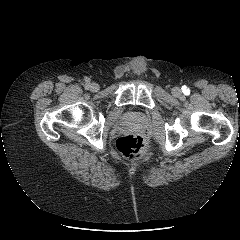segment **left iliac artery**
Returning a JSON list of instances; mask_svg holds the SVG:
<instances>
[{"instance_id": "1", "label": "left iliac artery", "mask_w": 240, "mask_h": 240, "mask_svg": "<svg viewBox=\"0 0 240 240\" xmlns=\"http://www.w3.org/2000/svg\"><path fill=\"white\" fill-rule=\"evenodd\" d=\"M182 90H183V93H185L186 95L189 94V90L186 89V87H183Z\"/></svg>"}]
</instances>
